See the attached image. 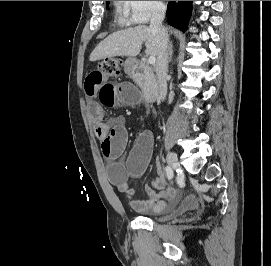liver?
I'll list each match as a JSON object with an SVG mask.
<instances>
[{"label": "liver", "mask_w": 271, "mask_h": 266, "mask_svg": "<svg viewBox=\"0 0 271 266\" xmlns=\"http://www.w3.org/2000/svg\"><path fill=\"white\" fill-rule=\"evenodd\" d=\"M145 42L146 54L157 56L155 37L150 28L138 25L109 35L101 41L90 55V61H97L115 56L135 57Z\"/></svg>", "instance_id": "1"}]
</instances>
